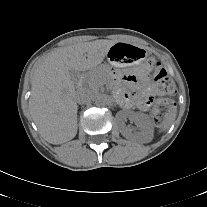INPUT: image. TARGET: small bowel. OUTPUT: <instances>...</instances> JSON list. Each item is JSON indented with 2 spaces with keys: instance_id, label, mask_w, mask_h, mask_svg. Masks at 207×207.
<instances>
[{
  "instance_id": "obj_1",
  "label": "small bowel",
  "mask_w": 207,
  "mask_h": 207,
  "mask_svg": "<svg viewBox=\"0 0 207 207\" xmlns=\"http://www.w3.org/2000/svg\"><path fill=\"white\" fill-rule=\"evenodd\" d=\"M147 67L140 69L139 77L127 76L126 82L133 88V92L121 90L119 99L126 105L137 104L141 109H147L153 102L156 92L155 85L147 78Z\"/></svg>"
}]
</instances>
